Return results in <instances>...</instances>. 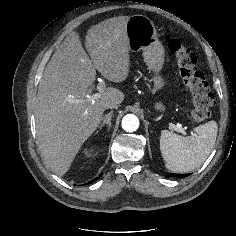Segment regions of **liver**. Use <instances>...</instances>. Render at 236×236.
Masks as SVG:
<instances>
[{
	"label": "liver",
	"instance_id": "1",
	"mask_svg": "<svg viewBox=\"0 0 236 236\" xmlns=\"http://www.w3.org/2000/svg\"><path fill=\"white\" fill-rule=\"evenodd\" d=\"M128 16L107 19L88 29L84 51L78 33H70L47 64L39 83L35 121L41 154L58 176L70 168L83 143L103 119L107 103L124 100L117 88L108 87L92 102L96 70L112 82H123L130 69L126 32Z\"/></svg>",
	"mask_w": 236,
	"mask_h": 236
}]
</instances>
